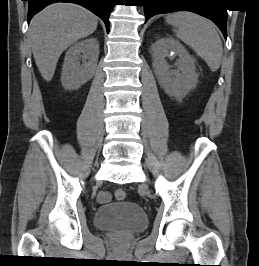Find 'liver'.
<instances>
[{
	"mask_svg": "<svg viewBox=\"0 0 259 266\" xmlns=\"http://www.w3.org/2000/svg\"><path fill=\"white\" fill-rule=\"evenodd\" d=\"M97 25L96 15L70 3L51 4L33 17L29 41L38 70L46 81L53 78L63 51L92 34Z\"/></svg>",
	"mask_w": 259,
	"mask_h": 266,
	"instance_id": "liver-1",
	"label": "liver"
}]
</instances>
